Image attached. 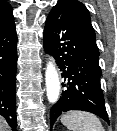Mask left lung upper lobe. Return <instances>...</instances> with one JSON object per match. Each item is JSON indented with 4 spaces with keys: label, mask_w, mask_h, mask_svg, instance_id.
<instances>
[{
    "label": "left lung upper lobe",
    "mask_w": 117,
    "mask_h": 131,
    "mask_svg": "<svg viewBox=\"0 0 117 131\" xmlns=\"http://www.w3.org/2000/svg\"><path fill=\"white\" fill-rule=\"evenodd\" d=\"M58 2L65 3L72 8L74 13L77 15L82 27L84 28L90 44L98 49L96 45L95 31L91 24L90 14L85 5L77 0H59Z\"/></svg>",
    "instance_id": "5c2ea615"
}]
</instances>
